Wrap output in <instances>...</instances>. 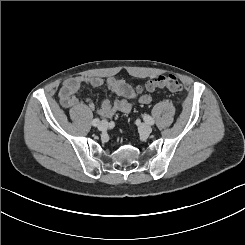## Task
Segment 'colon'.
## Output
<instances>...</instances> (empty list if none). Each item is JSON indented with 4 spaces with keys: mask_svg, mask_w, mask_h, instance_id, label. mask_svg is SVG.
Returning a JSON list of instances; mask_svg holds the SVG:
<instances>
[{
    "mask_svg": "<svg viewBox=\"0 0 245 245\" xmlns=\"http://www.w3.org/2000/svg\"><path fill=\"white\" fill-rule=\"evenodd\" d=\"M144 88L148 91L155 89H167L171 92H178L182 86L178 78L172 74H161L146 82ZM141 87H137V91H141Z\"/></svg>",
    "mask_w": 245,
    "mask_h": 245,
    "instance_id": "obj_1",
    "label": "colon"
}]
</instances>
